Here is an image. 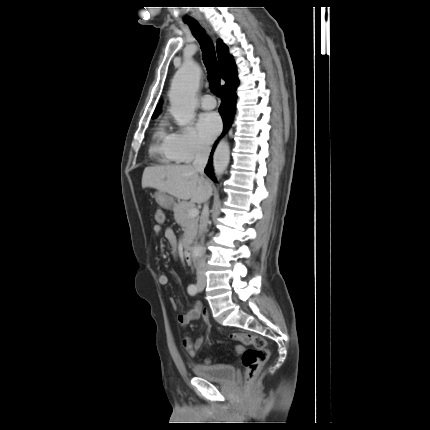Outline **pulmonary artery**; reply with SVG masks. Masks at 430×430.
<instances>
[{"instance_id": "e3ab8cb5", "label": "pulmonary artery", "mask_w": 430, "mask_h": 430, "mask_svg": "<svg viewBox=\"0 0 430 430\" xmlns=\"http://www.w3.org/2000/svg\"><path fill=\"white\" fill-rule=\"evenodd\" d=\"M201 107L205 110L214 109L216 107V100L209 94L204 95L201 99Z\"/></svg>"}]
</instances>
